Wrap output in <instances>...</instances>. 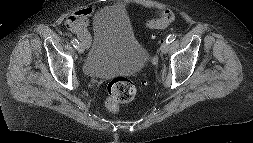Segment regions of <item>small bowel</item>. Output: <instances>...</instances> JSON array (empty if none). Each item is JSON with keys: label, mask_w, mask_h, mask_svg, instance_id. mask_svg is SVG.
<instances>
[{"label": "small bowel", "mask_w": 253, "mask_h": 143, "mask_svg": "<svg viewBox=\"0 0 253 143\" xmlns=\"http://www.w3.org/2000/svg\"><path fill=\"white\" fill-rule=\"evenodd\" d=\"M94 12V6L88 5L67 16L65 25L77 35L79 40L84 44L90 43V34L88 31L89 17ZM174 20V13L169 9L161 10L157 19L147 22V27L151 29H161L168 26ZM158 21L159 25L155 28L149 26V22Z\"/></svg>", "instance_id": "c3829d8e"}]
</instances>
